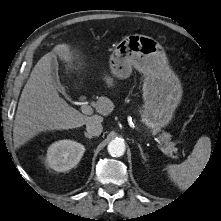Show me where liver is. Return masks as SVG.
Here are the masks:
<instances>
[{"label":"liver","mask_w":221,"mask_h":221,"mask_svg":"<svg viewBox=\"0 0 221 221\" xmlns=\"http://www.w3.org/2000/svg\"><path fill=\"white\" fill-rule=\"evenodd\" d=\"M74 51L63 43L56 45L45 54L34 66L30 77L23 88L14 120L13 140L16 147L25 144L41 132L67 130L83 126L90 121L103 118L99 115L86 116L70 107L54 85L50 72L52 58L66 63V68L73 67ZM109 87L114 86L113 78H103ZM96 111L108 116L114 109L113 102L107 97H99L95 104Z\"/></svg>","instance_id":"1"}]
</instances>
